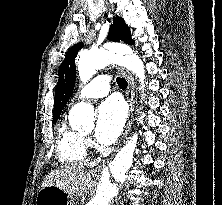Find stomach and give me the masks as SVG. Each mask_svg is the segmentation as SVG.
Wrapping results in <instances>:
<instances>
[{
  "label": "stomach",
  "instance_id": "stomach-1",
  "mask_svg": "<svg viewBox=\"0 0 222 205\" xmlns=\"http://www.w3.org/2000/svg\"><path fill=\"white\" fill-rule=\"evenodd\" d=\"M74 199L61 188L52 185L40 189L36 205H73Z\"/></svg>",
  "mask_w": 222,
  "mask_h": 205
}]
</instances>
